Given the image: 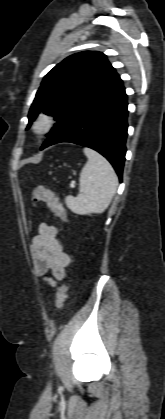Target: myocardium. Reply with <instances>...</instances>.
<instances>
[{
    "instance_id": "1",
    "label": "myocardium",
    "mask_w": 165,
    "mask_h": 419,
    "mask_svg": "<svg viewBox=\"0 0 165 419\" xmlns=\"http://www.w3.org/2000/svg\"><path fill=\"white\" fill-rule=\"evenodd\" d=\"M54 118L48 113H41L32 124V130L37 136L48 134L54 126Z\"/></svg>"
}]
</instances>
